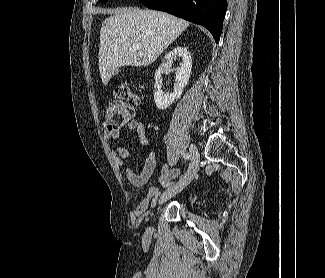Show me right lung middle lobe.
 <instances>
[{
    "label": "right lung middle lobe",
    "instance_id": "1",
    "mask_svg": "<svg viewBox=\"0 0 325 278\" xmlns=\"http://www.w3.org/2000/svg\"><path fill=\"white\" fill-rule=\"evenodd\" d=\"M100 2H101V3H106V2H107V0H100Z\"/></svg>",
    "mask_w": 325,
    "mask_h": 278
}]
</instances>
